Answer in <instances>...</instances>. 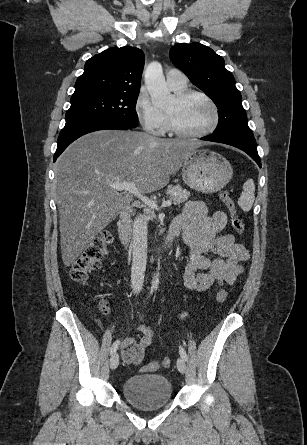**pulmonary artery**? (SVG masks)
Instances as JSON below:
<instances>
[{
	"label": "pulmonary artery",
	"mask_w": 307,
	"mask_h": 445,
	"mask_svg": "<svg viewBox=\"0 0 307 445\" xmlns=\"http://www.w3.org/2000/svg\"><path fill=\"white\" fill-rule=\"evenodd\" d=\"M182 69H168L166 79L170 87L174 90L183 89L186 87V79H182Z\"/></svg>",
	"instance_id": "pulmonary-artery-1"
}]
</instances>
